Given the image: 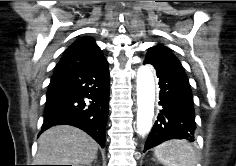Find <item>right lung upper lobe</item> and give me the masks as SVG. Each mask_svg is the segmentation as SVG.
<instances>
[{"label":"right lung upper lobe","instance_id":"cb5924a9","mask_svg":"<svg viewBox=\"0 0 236 166\" xmlns=\"http://www.w3.org/2000/svg\"><path fill=\"white\" fill-rule=\"evenodd\" d=\"M106 61L95 40L91 37H83L65 50L55 72L90 69Z\"/></svg>","mask_w":236,"mask_h":166}]
</instances>
